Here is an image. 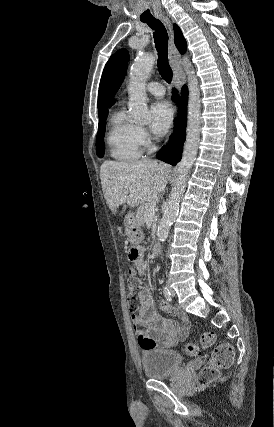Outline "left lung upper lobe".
<instances>
[{
  "label": "left lung upper lobe",
  "mask_w": 274,
  "mask_h": 427,
  "mask_svg": "<svg viewBox=\"0 0 274 427\" xmlns=\"http://www.w3.org/2000/svg\"><path fill=\"white\" fill-rule=\"evenodd\" d=\"M129 54L126 49H120L116 52L111 64L109 65L104 78L102 79L103 101L107 106L115 103L114 96L120 88L128 65Z\"/></svg>",
  "instance_id": "obj_1"
}]
</instances>
